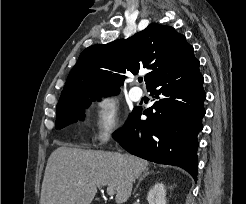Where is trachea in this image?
<instances>
[{"instance_id":"trachea-1","label":"trachea","mask_w":246,"mask_h":204,"mask_svg":"<svg viewBox=\"0 0 246 204\" xmlns=\"http://www.w3.org/2000/svg\"><path fill=\"white\" fill-rule=\"evenodd\" d=\"M142 81H143V79L140 78V79H139V82H142Z\"/></svg>"}]
</instances>
